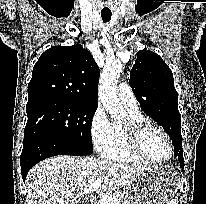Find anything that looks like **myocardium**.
I'll use <instances>...</instances> for the list:
<instances>
[{
    "label": "myocardium",
    "instance_id": "f54148a6",
    "mask_svg": "<svg viewBox=\"0 0 206 204\" xmlns=\"http://www.w3.org/2000/svg\"><path fill=\"white\" fill-rule=\"evenodd\" d=\"M153 128L159 131L166 139L169 147V156L164 161H154L150 159L144 152L141 144L143 133L148 129ZM124 131L127 137V141L133 153L140 159L148 164L152 165H164L167 164L174 156V146L168 133L158 124L146 119V118H129L124 122Z\"/></svg>",
    "mask_w": 206,
    "mask_h": 204
}]
</instances>
